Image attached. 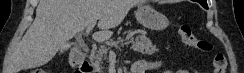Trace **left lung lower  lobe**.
<instances>
[{
	"label": "left lung lower lobe",
	"mask_w": 244,
	"mask_h": 73,
	"mask_svg": "<svg viewBox=\"0 0 244 73\" xmlns=\"http://www.w3.org/2000/svg\"><path fill=\"white\" fill-rule=\"evenodd\" d=\"M197 2H199L201 5L204 4V0H198ZM206 9H208V8H206Z\"/></svg>",
	"instance_id": "left-lung-lower-lobe-1"
}]
</instances>
